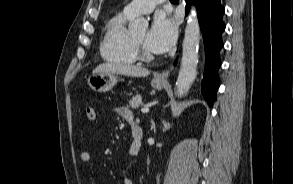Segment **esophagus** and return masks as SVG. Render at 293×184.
Masks as SVG:
<instances>
[{
	"label": "esophagus",
	"mask_w": 293,
	"mask_h": 184,
	"mask_svg": "<svg viewBox=\"0 0 293 184\" xmlns=\"http://www.w3.org/2000/svg\"><path fill=\"white\" fill-rule=\"evenodd\" d=\"M169 74H170V70L167 69V70L161 72L160 74H158L157 78L164 80L169 76Z\"/></svg>",
	"instance_id": "obj_1"
}]
</instances>
